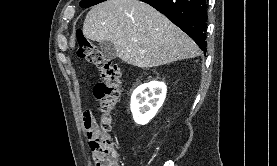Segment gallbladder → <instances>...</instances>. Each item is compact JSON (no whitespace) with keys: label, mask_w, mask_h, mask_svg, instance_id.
<instances>
[{"label":"gallbladder","mask_w":277,"mask_h":166,"mask_svg":"<svg viewBox=\"0 0 277 166\" xmlns=\"http://www.w3.org/2000/svg\"><path fill=\"white\" fill-rule=\"evenodd\" d=\"M99 47L102 54L108 59H115L117 57L116 47L110 41L99 42Z\"/></svg>","instance_id":"obj_1"}]
</instances>
